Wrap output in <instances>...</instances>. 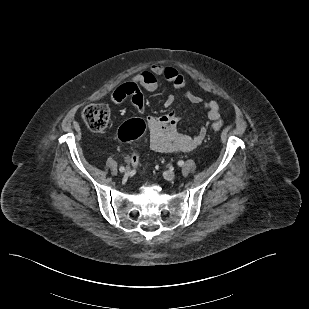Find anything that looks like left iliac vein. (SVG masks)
Masks as SVG:
<instances>
[{
    "label": "left iliac vein",
    "mask_w": 309,
    "mask_h": 309,
    "mask_svg": "<svg viewBox=\"0 0 309 309\" xmlns=\"http://www.w3.org/2000/svg\"><path fill=\"white\" fill-rule=\"evenodd\" d=\"M175 173L173 171H166L164 172V178L167 181H173L175 179Z\"/></svg>",
    "instance_id": "left-iliac-vein-1"
}]
</instances>
